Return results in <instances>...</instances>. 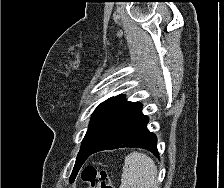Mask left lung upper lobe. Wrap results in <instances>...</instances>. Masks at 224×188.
I'll return each instance as SVG.
<instances>
[{
	"label": "left lung upper lobe",
	"mask_w": 224,
	"mask_h": 188,
	"mask_svg": "<svg viewBox=\"0 0 224 188\" xmlns=\"http://www.w3.org/2000/svg\"><path fill=\"white\" fill-rule=\"evenodd\" d=\"M132 104L134 103L124 100V95L112 97L101 103L92 115L77 158L83 159L87 153L92 151ZM80 167L77 166L74 170H78Z\"/></svg>",
	"instance_id": "5c2ea615"
}]
</instances>
